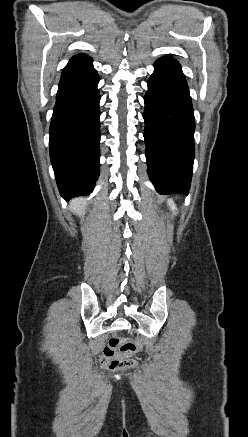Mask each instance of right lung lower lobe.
Wrapping results in <instances>:
<instances>
[{
	"mask_svg": "<svg viewBox=\"0 0 248 437\" xmlns=\"http://www.w3.org/2000/svg\"><path fill=\"white\" fill-rule=\"evenodd\" d=\"M99 75L87 55L62 71L50 124L49 150L61 196L69 200L94 189L100 167Z\"/></svg>",
	"mask_w": 248,
	"mask_h": 437,
	"instance_id": "obj_1",
	"label": "right lung lower lobe"
}]
</instances>
